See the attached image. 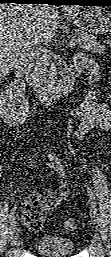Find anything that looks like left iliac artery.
I'll use <instances>...</instances> for the list:
<instances>
[{"label":"left iliac artery","mask_w":111,"mask_h":257,"mask_svg":"<svg viewBox=\"0 0 111 257\" xmlns=\"http://www.w3.org/2000/svg\"><path fill=\"white\" fill-rule=\"evenodd\" d=\"M87 192H88V195H89V197H90L92 203H93L94 206H95L96 203L94 202V195H93L91 189H90L88 186H87ZM96 210H97V209H96Z\"/></svg>","instance_id":"44dca946"}]
</instances>
